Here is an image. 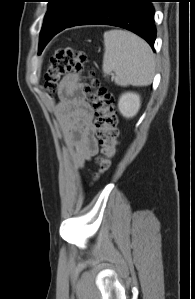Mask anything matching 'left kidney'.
Segmentation results:
<instances>
[{"mask_svg": "<svg viewBox=\"0 0 195 299\" xmlns=\"http://www.w3.org/2000/svg\"><path fill=\"white\" fill-rule=\"evenodd\" d=\"M140 105V96L132 92L122 94L118 101V109L126 118L134 117L138 113Z\"/></svg>", "mask_w": 195, "mask_h": 299, "instance_id": "5707ae66", "label": "left kidney"}]
</instances>
